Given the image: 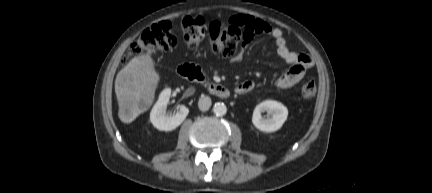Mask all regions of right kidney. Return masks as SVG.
<instances>
[{
    "mask_svg": "<svg viewBox=\"0 0 432 193\" xmlns=\"http://www.w3.org/2000/svg\"><path fill=\"white\" fill-rule=\"evenodd\" d=\"M170 95L171 89L167 88L163 90L150 113L151 123L160 131H172L176 129L181 125L189 113V109L186 106L181 105L179 111L175 115H167L166 108Z\"/></svg>",
    "mask_w": 432,
    "mask_h": 193,
    "instance_id": "obj_1",
    "label": "right kidney"
}]
</instances>
